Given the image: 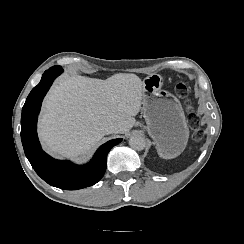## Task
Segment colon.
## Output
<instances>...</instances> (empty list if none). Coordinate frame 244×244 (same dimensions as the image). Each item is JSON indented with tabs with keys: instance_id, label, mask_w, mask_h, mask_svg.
Returning <instances> with one entry per match:
<instances>
[{
	"instance_id": "1",
	"label": "colon",
	"mask_w": 244,
	"mask_h": 244,
	"mask_svg": "<svg viewBox=\"0 0 244 244\" xmlns=\"http://www.w3.org/2000/svg\"><path fill=\"white\" fill-rule=\"evenodd\" d=\"M174 88L176 91L183 97V102L187 105V109L189 110V118L190 120H194L197 118V115L193 112V107L191 102L187 99L186 94L188 92V87L182 82H175ZM204 133L201 129H196L193 133V138L195 140L203 139Z\"/></svg>"
}]
</instances>
